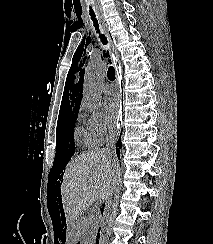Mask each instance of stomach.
<instances>
[{
	"label": "stomach",
	"instance_id": "obj_1",
	"mask_svg": "<svg viewBox=\"0 0 213 244\" xmlns=\"http://www.w3.org/2000/svg\"><path fill=\"white\" fill-rule=\"evenodd\" d=\"M80 221H69L66 226L68 231V239H64V244H78V239H81Z\"/></svg>",
	"mask_w": 213,
	"mask_h": 244
}]
</instances>
